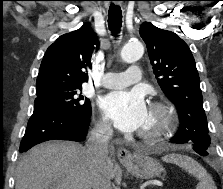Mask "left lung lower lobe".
<instances>
[{
	"mask_svg": "<svg viewBox=\"0 0 223 189\" xmlns=\"http://www.w3.org/2000/svg\"><path fill=\"white\" fill-rule=\"evenodd\" d=\"M172 142V141H171ZM175 143V142H174ZM198 154H200L201 156H207L208 155V151L204 150L202 148L199 147H192Z\"/></svg>",
	"mask_w": 223,
	"mask_h": 189,
	"instance_id": "obj_1",
	"label": "left lung lower lobe"
}]
</instances>
